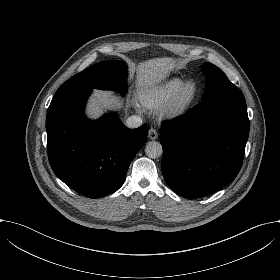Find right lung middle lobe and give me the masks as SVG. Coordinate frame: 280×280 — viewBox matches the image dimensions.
Instances as JSON below:
<instances>
[{
  "label": "right lung middle lobe",
  "instance_id": "obj_1",
  "mask_svg": "<svg viewBox=\"0 0 280 280\" xmlns=\"http://www.w3.org/2000/svg\"><path fill=\"white\" fill-rule=\"evenodd\" d=\"M89 87L111 89L125 94L127 91V64L124 61H103L74 75L60 87Z\"/></svg>",
  "mask_w": 280,
  "mask_h": 280
}]
</instances>
